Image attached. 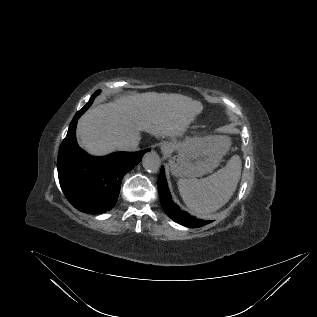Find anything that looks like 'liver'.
<instances>
[{
	"label": "liver",
	"mask_w": 317,
	"mask_h": 317,
	"mask_svg": "<svg viewBox=\"0 0 317 317\" xmlns=\"http://www.w3.org/2000/svg\"><path fill=\"white\" fill-rule=\"evenodd\" d=\"M203 110L201 102L176 93L147 92L122 96L89 109L78 121L77 136L92 155H106L119 144L155 137H182Z\"/></svg>",
	"instance_id": "1"
}]
</instances>
